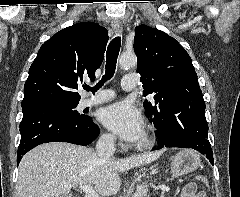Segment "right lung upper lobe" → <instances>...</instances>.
Returning <instances> with one entry per match:
<instances>
[{
	"mask_svg": "<svg viewBox=\"0 0 240 197\" xmlns=\"http://www.w3.org/2000/svg\"><path fill=\"white\" fill-rule=\"evenodd\" d=\"M108 31L97 23H77L46 41L29 69L22 108L53 101H79L83 77L95 78L104 59Z\"/></svg>",
	"mask_w": 240,
	"mask_h": 197,
	"instance_id": "obj_1",
	"label": "right lung upper lobe"
}]
</instances>
